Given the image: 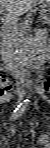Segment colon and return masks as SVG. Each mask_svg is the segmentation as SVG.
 I'll list each match as a JSON object with an SVG mask.
<instances>
[{
	"mask_svg": "<svg viewBox=\"0 0 50 148\" xmlns=\"http://www.w3.org/2000/svg\"><path fill=\"white\" fill-rule=\"evenodd\" d=\"M11 93V86L8 84H4L2 88L0 89V96L6 97Z\"/></svg>",
	"mask_w": 50,
	"mask_h": 148,
	"instance_id": "5ec220e1",
	"label": "colon"
}]
</instances>
